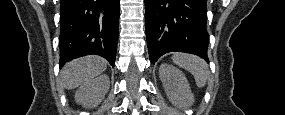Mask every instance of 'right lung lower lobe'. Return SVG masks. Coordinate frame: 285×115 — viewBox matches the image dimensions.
<instances>
[{"label": "right lung lower lobe", "instance_id": "98d812e1", "mask_svg": "<svg viewBox=\"0 0 285 115\" xmlns=\"http://www.w3.org/2000/svg\"><path fill=\"white\" fill-rule=\"evenodd\" d=\"M60 66L96 54L115 64L120 0H61Z\"/></svg>", "mask_w": 285, "mask_h": 115}]
</instances>
